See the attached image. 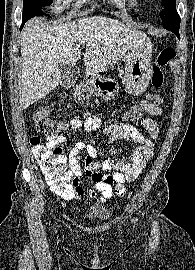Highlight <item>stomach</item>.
I'll list each match as a JSON object with an SVG mask.
<instances>
[{"label":"stomach","instance_id":"stomach-1","mask_svg":"<svg viewBox=\"0 0 195 270\" xmlns=\"http://www.w3.org/2000/svg\"><path fill=\"white\" fill-rule=\"evenodd\" d=\"M151 53L152 43L148 37H143L137 40L135 47L125 56L123 82L130 95L138 96L146 90L152 74ZM88 82L96 96L102 99L110 100L118 95L119 85L114 79L91 74Z\"/></svg>","mask_w":195,"mask_h":270}]
</instances>
